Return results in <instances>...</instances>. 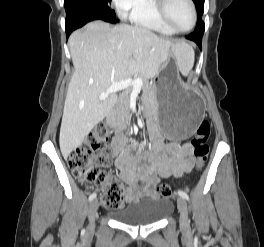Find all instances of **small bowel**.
Here are the masks:
<instances>
[{"label":"small bowel","instance_id":"1","mask_svg":"<svg viewBox=\"0 0 264 247\" xmlns=\"http://www.w3.org/2000/svg\"><path fill=\"white\" fill-rule=\"evenodd\" d=\"M151 148L145 150L139 143L129 141L123 133L112 140V156L125 183L128 203L139 198H157L155 188L160 178H179L192 171L194 158L188 142L164 140L155 124L149 125Z\"/></svg>","mask_w":264,"mask_h":247}]
</instances>
